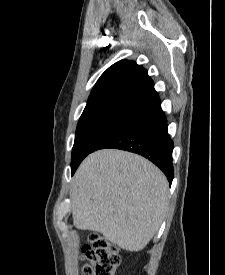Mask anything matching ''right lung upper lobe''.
I'll use <instances>...</instances> for the list:
<instances>
[{
    "label": "right lung upper lobe",
    "mask_w": 225,
    "mask_h": 275,
    "mask_svg": "<svg viewBox=\"0 0 225 275\" xmlns=\"http://www.w3.org/2000/svg\"><path fill=\"white\" fill-rule=\"evenodd\" d=\"M158 101L147 71L133 61L122 60L98 79L80 119L106 113L129 115Z\"/></svg>",
    "instance_id": "1"
}]
</instances>
